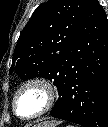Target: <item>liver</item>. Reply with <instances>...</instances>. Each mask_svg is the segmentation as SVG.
I'll return each instance as SVG.
<instances>
[{
    "label": "liver",
    "mask_w": 108,
    "mask_h": 127,
    "mask_svg": "<svg viewBox=\"0 0 108 127\" xmlns=\"http://www.w3.org/2000/svg\"><path fill=\"white\" fill-rule=\"evenodd\" d=\"M57 122H55V121H51V122H43V123H41L43 126H47V125H49V124H56Z\"/></svg>",
    "instance_id": "obj_1"
}]
</instances>
